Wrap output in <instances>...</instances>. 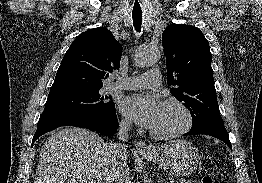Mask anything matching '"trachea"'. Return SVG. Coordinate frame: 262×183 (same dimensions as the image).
I'll list each match as a JSON object with an SVG mask.
<instances>
[{
  "label": "trachea",
  "instance_id": "trachea-1",
  "mask_svg": "<svg viewBox=\"0 0 262 183\" xmlns=\"http://www.w3.org/2000/svg\"><path fill=\"white\" fill-rule=\"evenodd\" d=\"M133 24L137 32L141 31L142 24V12L141 11H133L132 12Z\"/></svg>",
  "mask_w": 262,
  "mask_h": 183
}]
</instances>
